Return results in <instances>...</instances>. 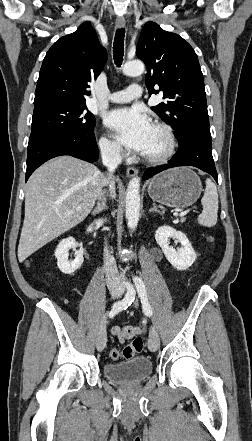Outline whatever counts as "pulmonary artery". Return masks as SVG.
Segmentation results:
<instances>
[{"instance_id": "obj_1", "label": "pulmonary artery", "mask_w": 252, "mask_h": 441, "mask_svg": "<svg viewBox=\"0 0 252 441\" xmlns=\"http://www.w3.org/2000/svg\"><path fill=\"white\" fill-rule=\"evenodd\" d=\"M142 95V88L139 85H130L126 90L111 93L108 100L113 103H127L138 99Z\"/></svg>"}]
</instances>
